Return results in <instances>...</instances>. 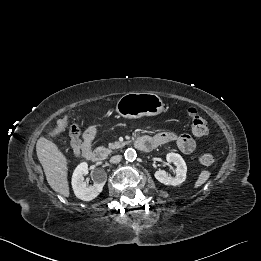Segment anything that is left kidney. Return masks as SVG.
I'll return each instance as SVG.
<instances>
[{
    "label": "left kidney",
    "mask_w": 261,
    "mask_h": 261,
    "mask_svg": "<svg viewBox=\"0 0 261 261\" xmlns=\"http://www.w3.org/2000/svg\"><path fill=\"white\" fill-rule=\"evenodd\" d=\"M166 160L168 163H173L176 166L175 177H170L164 170H158L155 172V178L165 184L178 186L182 184L186 179L187 166L181 155L177 153H168L166 155Z\"/></svg>",
    "instance_id": "left-kidney-1"
}]
</instances>
